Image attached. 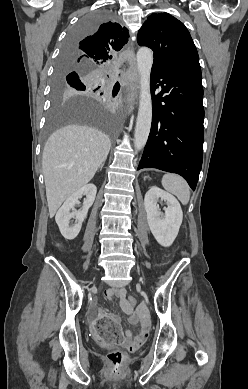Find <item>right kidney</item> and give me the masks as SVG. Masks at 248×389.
Returning a JSON list of instances; mask_svg holds the SVG:
<instances>
[{
    "instance_id": "right-kidney-1",
    "label": "right kidney",
    "mask_w": 248,
    "mask_h": 389,
    "mask_svg": "<svg viewBox=\"0 0 248 389\" xmlns=\"http://www.w3.org/2000/svg\"><path fill=\"white\" fill-rule=\"evenodd\" d=\"M96 193V186L94 184H87L68 197L62 207L58 210L55 220L65 239L73 240L77 237L81 230L82 223L87 216L88 210L94 203ZM83 195H85L86 198L83 201L82 210L77 211L74 209V206L79 202L78 199ZM71 218H76L77 223L75 225L70 224Z\"/></svg>"
}]
</instances>
